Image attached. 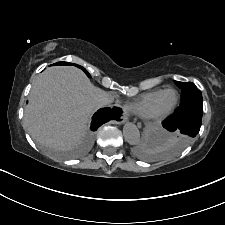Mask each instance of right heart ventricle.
Wrapping results in <instances>:
<instances>
[{"instance_id": "obj_1", "label": "right heart ventricle", "mask_w": 225, "mask_h": 225, "mask_svg": "<svg viewBox=\"0 0 225 225\" xmlns=\"http://www.w3.org/2000/svg\"><path fill=\"white\" fill-rule=\"evenodd\" d=\"M160 91L161 90L151 91L141 95L131 104V110L144 116Z\"/></svg>"}]
</instances>
